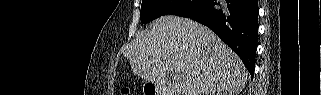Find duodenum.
Segmentation results:
<instances>
[{"label":"duodenum","mask_w":321,"mask_h":95,"mask_svg":"<svg viewBox=\"0 0 321 95\" xmlns=\"http://www.w3.org/2000/svg\"><path fill=\"white\" fill-rule=\"evenodd\" d=\"M155 95H171V93L169 91L156 88Z\"/></svg>","instance_id":"1"}]
</instances>
